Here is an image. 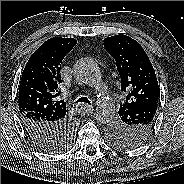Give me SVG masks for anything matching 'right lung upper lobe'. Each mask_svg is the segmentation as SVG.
<instances>
[{"mask_svg": "<svg viewBox=\"0 0 184 184\" xmlns=\"http://www.w3.org/2000/svg\"><path fill=\"white\" fill-rule=\"evenodd\" d=\"M77 44L73 38H50L30 57L19 86L20 114H41L49 120L66 116V103L57 97L61 62Z\"/></svg>", "mask_w": 184, "mask_h": 184, "instance_id": "obj_1", "label": "right lung upper lobe"}]
</instances>
